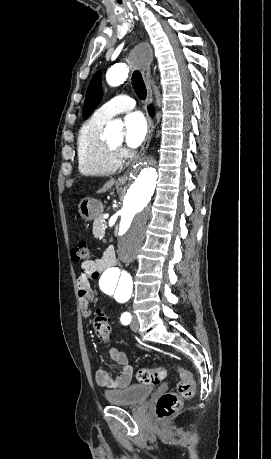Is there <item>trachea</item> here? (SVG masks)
Wrapping results in <instances>:
<instances>
[{
  "instance_id": "trachea-1",
  "label": "trachea",
  "mask_w": 271,
  "mask_h": 459,
  "mask_svg": "<svg viewBox=\"0 0 271 459\" xmlns=\"http://www.w3.org/2000/svg\"><path fill=\"white\" fill-rule=\"evenodd\" d=\"M132 86L134 91L136 92L137 96L144 100L147 96V89L142 78L141 73L138 70H135L132 74Z\"/></svg>"
}]
</instances>
